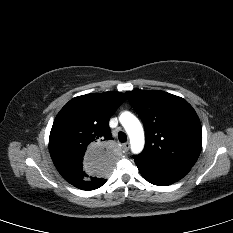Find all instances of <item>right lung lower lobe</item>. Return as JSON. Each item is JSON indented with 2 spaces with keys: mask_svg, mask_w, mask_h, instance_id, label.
<instances>
[{
  "mask_svg": "<svg viewBox=\"0 0 233 233\" xmlns=\"http://www.w3.org/2000/svg\"><path fill=\"white\" fill-rule=\"evenodd\" d=\"M105 182L106 180L104 179L100 181L86 180V181H83L77 184H72V185L82 190H94V189L101 187Z\"/></svg>",
  "mask_w": 233,
  "mask_h": 233,
  "instance_id": "1",
  "label": "right lung lower lobe"
}]
</instances>
